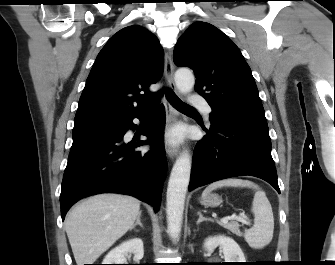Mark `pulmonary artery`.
Segmentation results:
<instances>
[{"mask_svg":"<svg viewBox=\"0 0 335 265\" xmlns=\"http://www.w3.org/2000/svg\"><path fill=\"white\" fill-rule=\"evenodd\" d=\"M190 106L193 108H199L201 109L207 116L211 114L212 109L209 106V104L203 99L201 96L197 94H193L190 97Z\"/></svg>","mask_w":335,"mask_h":265,"instance_id":"obj_1","label":"pulmonary artery"}]
</instances>
